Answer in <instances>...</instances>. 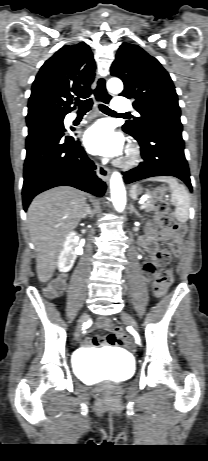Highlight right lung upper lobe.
Segmentation results:
<instances>
[{"label":"right lung upper lobe","mask_w":208,"mask_h":461,"mask_svg":"<svg viewBox=\"0 0 208 461\" xmlns=\"http://www.w3.org/2000/svg\"><path fill=\"white\" fill-rule=\"evenodd\" d=\"M95 61L84 42L66 45L49 58L38 72L31 90L27 117L64 118L75 107L73 97L92 94Z\"/></svg>","instance_id":"obj_1"}]
</instances>
